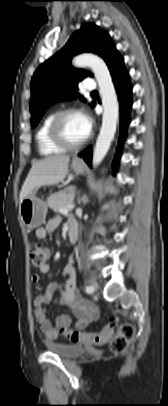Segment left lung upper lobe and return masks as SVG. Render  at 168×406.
I'll list each match as a JSON object with an SVG mask.
<instances>
[{
    "label": "left lung upper lobe",
    "mask_w": 168,
    "mask_h": 406,
    "mask_svg": "<svg viewBox=\"0 0 168 406\" xmlns=\"http://www.w3.org/2000/svg\"><path fill=\"white\" fill-rule=\"evenodd\" d=\"M82 52H93L101 56L107 65L118 53L109 34L94 24H82L73 33L67 44L53 57L41 64L31 80V124L35 127L45 111L53 103L79 96L78 83L88 73L74 69L71 58ZM81 100L85 101L83 97ZM95 103H92L94 106Z\"/></svg>",
    "instance_id": "left-lung-upper-lobe-1"
}]
</instances>
